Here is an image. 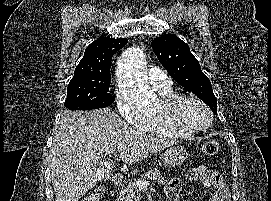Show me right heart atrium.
<instances>
[{
  "instance_id": "obj_1",
  "label": "right heart atrium",
  "mask_w": 271,
  "mask_h": 201,
  "mask_svg": "<svg viewBox=\"0 0 271 201\" xmlns=\"http://www.w3.org/2000/svg\"><path fill=\"white\" fill-rule=\"evenodd\" d=\"M116 106L119 114L128 124L139 128L147 124L148 117L140 114L122 91L116 92Z\"/></svg>"
}]
</instances>
